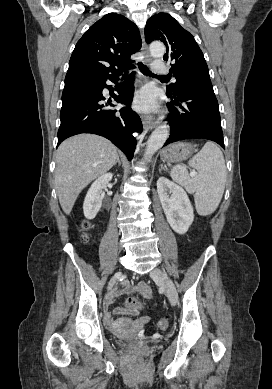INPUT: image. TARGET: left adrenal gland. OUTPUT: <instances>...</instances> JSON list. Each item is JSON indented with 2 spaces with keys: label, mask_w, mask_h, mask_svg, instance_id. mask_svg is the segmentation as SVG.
Segmentation results:
<instances>
[{
  "label": "left adrenal gland",
  "mask_w": 272,
  "mask_h": 389,
  "mask_svg": "<svg viewBox=\"0 0 272 389\" xmlns=\"http://www.w3.org/2000/svg\"><path fill=\"white\" fill-rule=\"evenodd\" d=\"M166 169H167V167H166L165 165L161 164V167H160V169H159V172H161L162 170H166Z\"/></svg>",
  "instance_id": "left-adrenal-gland-1"
}]
</instances>
